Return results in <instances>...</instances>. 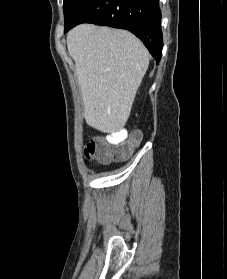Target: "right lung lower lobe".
Returning <instances> with one entry per match:
<instances>
[{
    "label": "right lung lower lobe",
    "mask_w": 227,
    "mask_h": 279,
    "mask_svg": "<svg viewBox=\"0 0 227 279\" xmlns=\"http://www.w3.org/2000/svg\"><path fill=\"white\" fill-rule=\"evenodd\" d=\"M80 23L129 30L141 39L157 63L161 59L163 38L158 0H85L64 33Z\"/></svg>",
    "instance_id": "obj_1"
}]
</instances>
